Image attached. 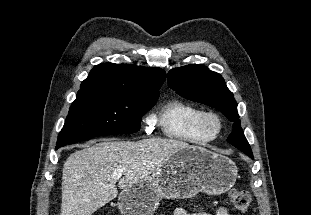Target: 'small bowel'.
<instances>
[{
  "instance_id": "c3829d8e",
  "label": "small bowel",
  "mask_w": 311,
  "mask_h": 215,
  "mask_svg": "<svg viewBox=\"0 0 311 215\" xmlns=\"http://www.w3.org/2000/svg\"><path fill=\"white\" fill-rule=\"evenodd\" d=\"M174 215H212V214L202 207H197V209L192 213H188L183 208H177L174 212ZM215 215H230V212L226 208L220 207L216 210Z\"/></svg>"
}]
</instances>
